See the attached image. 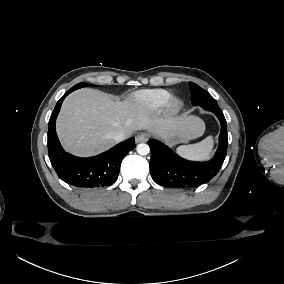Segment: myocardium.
Instances as JSON below:
<instances>
[{
  "mask_svg": "<svg viewBox=\"0 0 284 284\" xmlns=\"http://www.w3.org/2000/svg\"><path fill=\"white\" fill-rule=\"evenodd\" d=\"M183 108L184 100L179 96H173L166 105V113L167 115L174 116L180 113Z\"/></svg>",
  "mask_w": 284,
  "mask_h": 284,
  "instance_id": "f54148a6",
  "label": "myocardium"
}]
</instances>
